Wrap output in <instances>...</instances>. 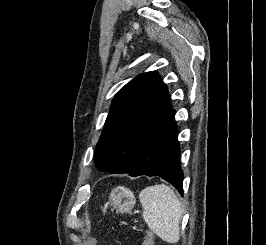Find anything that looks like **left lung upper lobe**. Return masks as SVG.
Here are the masks:
<instances>
[{"label": "left lung upper lobe", "mask_w": 266, "mask_h": 245, "mask_svg": "<svg viewBox=\"0 0 266 245\" xmlns=\"http://www.w3.org/2000/svg\"><path fill=\"white\" fill-rule=\"evenodd\" d=\"M169 99L167 87L155 71L140 74L118 91L96 146V167L125 173L141 139L170 109Z\"/></svg>", "instance_id": "obj_1"}]
</instances>
